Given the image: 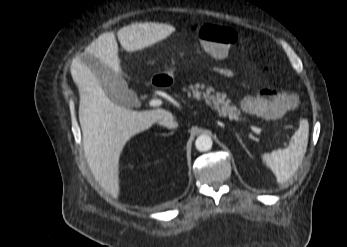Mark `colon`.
Returning a JSON list of instances; mask_svg holds the SVG:
<instances>
[{
	"mask_svg": "<svg viewBox=\"0 0 347 247\" xmlns=\"http://www.w3.org/2000/svg\"><path fill=\"white\" fill-rule=\"evenodd\" d=\"M191 32L205 52L216 59L225 58L238 38L237 32L233 28L216 23L196 24L192 27ZM296 104L297 100L293 94L264 88L256 96L245 97L241 106L244 111L251 114L276 118L294 108Z\"/></svg>",
	"mask_w": 347,
	"mask_h": 247,
	"instance_id": "obj_1",
	"label": "colon"
}]
</instances>
